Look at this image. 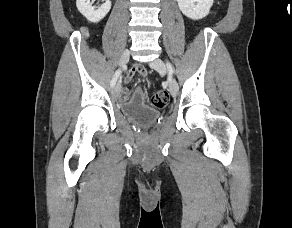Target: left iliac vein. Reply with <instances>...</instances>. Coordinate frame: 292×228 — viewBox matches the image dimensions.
<instances>
[{
  "instance_id": "obj_1",
  "label": "left iliac vein",
  "mask_w": 292,
  "mask_h": 228,
  "mask_svg": "<svg viewBox=\"0 0 292 228\" xmlns=\"http://www.w3.org/2000/svg\"><path fill=\"white\" fill-rule=\"evenodd\" d=\"M150 67L158 71L159 73L165 74L167 71L166 65L160 58L155 59L150 63ZM168 87L171 95L175 97L178 94L179 86L177 81L169 75L168 77Z\"/></svg>"
}]
</instances>
